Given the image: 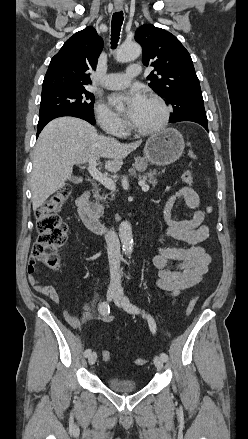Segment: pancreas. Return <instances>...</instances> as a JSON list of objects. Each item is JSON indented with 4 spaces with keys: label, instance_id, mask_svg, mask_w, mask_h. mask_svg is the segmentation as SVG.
Segmentation results:
<instances>
[{
    "label": "pancreas",
    "instance_id": "obj_1",
    "mask_svg": "<svg viewBox=\"0 0 248 439\" xmlns=\"http://www.w3.org/2000/svg\"><path fill=\"white\" fill-rule=\"evenodd\" d=\"M155 175H157V172H156V170H153V171L147 172L145 175L141 176V178H142V181L145 182L146 180H148V182L150 184L155 186L157 184V180L154 177ZM93 195L96 199V204H98L99 206H102L100 204V202L103 200H106V196H100L99 189H95Z\"/></svg>",
    "mask_w": 248,
    "mask_h": 439
}]
</instances>
